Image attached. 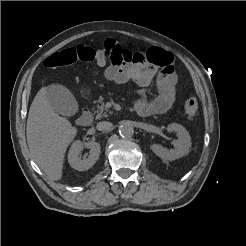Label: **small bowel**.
Segmentation results:
<instances>
[{"label":"small bowel","instance_id":"1","mask_svg":"<svg viewBox=\"0 0 246 246\" xmlns=\"http://www.w3.org/2000/svg\"><path fill=\"white\" fill-rule=\"evenodd\" d=\"M105 49L111 64L104 76L117 84L133 81L142 87L134 104L141 116L167 112L176 100L177 77L173 69V56L168 51L153 47L145 52L132 53L115 40H107ZM156 80L157 96L148 100L145 88Z\"/></svg>","mask_w":246,"mask_h":246}]
</instances>
